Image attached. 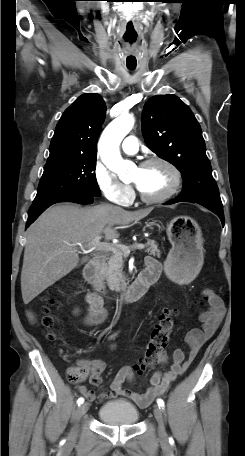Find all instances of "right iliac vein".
<instances>
[{
  "instance_id": "1",
  "label": "right iliac vein",
  "mask_w": 245,
  "mask_h": 456,
  "mask_svg": "<svg viewBox=\"0 0 245 456\" xmlns=\"http://www.w3.org/2000/svg\"><path fill=\"white\" fill-rule=\"evenodd\" d=\"M89 403H84L82 405H80L77 409V413H76V420H80V418L88 411L89 409ZM77 435V429H73L72 431V437L75 438Z\"/></svg>"
}]
</instances>
